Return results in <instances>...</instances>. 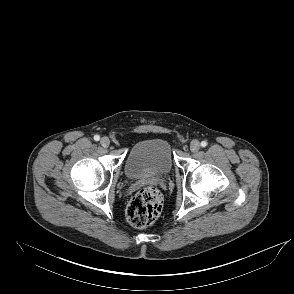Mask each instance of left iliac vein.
Wrapping results in <instances>:
<instances>
[{"mask_svg":"<svg viewBox=\"0 0 294 294\" xmlns=\"http://www.w3.org/2000/svg\"><path fill=\"white\" fill-rule=\"evenodd\" d=\"M200 149V144L197 140H193L190 144V150L192 152H197Z\"/></svg>","mask_w":294,"mask_h":294,"instance_id":"left-iliac-vein-1","label":"left iliac vein"}]
</instances>
